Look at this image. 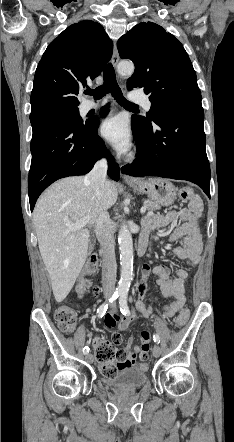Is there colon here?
<instances>
[{
	"label": "colon",
	"mask_w": 234,
	"mask_h": 442,
	"mask_svg": "<svg viewBox=\"0 0 234 442\" xmlns=\"http://www.w3.org/2000/svg\"><path fill=\"white\" fill-rule=\"evenodd\" d=\"M180 199L184 202L192 201L196 195L191 187H183L179 192ZM97 268V259L92 257L87 261L81 274L78 284V292L80 295L87 293L91 289V277L95 274ZM93 294H98L99 288H92ZM189 317V311L183 310L181 314L174 320L177 328H181ZM55 321L64 333H70L75 328L76 315L74 310L68 305H62L55 311ZM113 338V337H112ZM113 343V341H112ZM106 340H101L96 344L95 353L99 365V370L104 376H112L118 369L126 367L127 355L122 349L116 348ZM142 348V347H141ZM149 350V349H148ZM143 360L142 367L147 368Z\"/></svg>",
	"instance_id": "colon-1"
}]
</instances>
